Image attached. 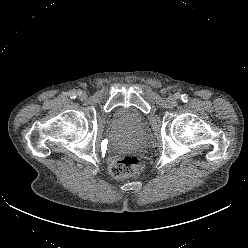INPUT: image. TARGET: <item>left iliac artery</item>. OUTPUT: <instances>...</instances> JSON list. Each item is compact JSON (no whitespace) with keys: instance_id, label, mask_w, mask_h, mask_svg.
Masks as SVG:
<instances>
[{"instance_id":"1","label":"left iliac artery","mask_w":248,"mask_h":248,"mask_svg":"<svg viewBox=\"0 0 248 248\" xmlns=\"http://www.w3.org/2000/svg\"><path fill=\"white\" fill-rule=\"evenodd\" d=\"M181 99H182L183 102H187V101H188V95L183 94V95L181 96Z\"/></svg>"}]
</instances>
